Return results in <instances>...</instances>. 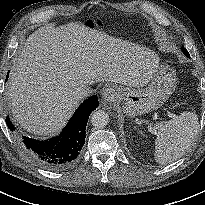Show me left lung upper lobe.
<instances>
[{"label":"left lung upper lobe","instance_id":"left-lung-upper-lobe-1","mask_svg":"<svg viewBox=\"0 0 205 205\" xmlns=\"http://www.w3.org/2000/svg\"><path fill=\"white\" fill-rule=\"evenodd\" d=\"M182 52L184 53L185 56L190 58V55H189L188 51L185 50L183 47H182Z\"/></svg>","mask_w":205,"mask_h":205}]
</instances>
